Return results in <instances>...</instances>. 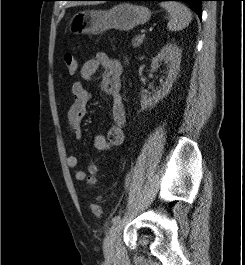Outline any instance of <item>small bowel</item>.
<instances>
[{"label": "small bowel", "instance_id": "c3829d8e", "mask_svg": "<svg viewBox=\"0 0 245 265\" xmlns=\"http://www.w3.org/2000/svg\"><path fill=\"white\" fill-rule=\"evenodd\" d=\"M99 68L103 69L101 87L112 101V120L106 135H95L93 145L97 150L108 151L119 147L124 142V127L126 111L121 96V76L123 67L118 59L111 58L105 52H97L80 68V78L84 82H92ZM73 102L67 111L68 130L75 139L82 136L81 123L87 113V106L91 98L90 92L84 88L81 81H76L71 87ZM67 166L75 169L78 159L74 155L67 157ZM75 178L84 181L87 174L83 170H76Z\"/></svg>", "mask_w": 245, "mask_h": 265}]
</instances>
